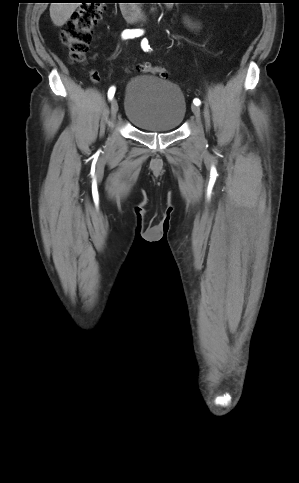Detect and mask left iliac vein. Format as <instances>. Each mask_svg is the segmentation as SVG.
Returning a JSON list of instances; mask_svg holds the SVG:
<instances>
[{
    "instance_id": "4c4485c4",
    "label": "left iliac vein",
    "mask_w": 299,
    "mask_h": 483,
    "mask_svg": "<svg viewBox=\"0 0 299 483\" xmlns=\"http://www.w3.org/2000/svg\"><path fill=\"white\" fill-rule=\"evenodd\" d=\"M191 110L196 117V120H197L199 128H200V138H201V140H203L204 136H203V130H202V125H201L200 108H199V106L194 104V105L191 106Z\"/></svg>"
}]
</instances>
